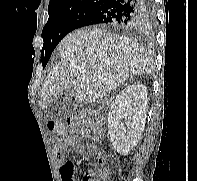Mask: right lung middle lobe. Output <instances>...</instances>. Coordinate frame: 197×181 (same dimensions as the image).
<instances>
[{
	"label": "right lung middle lobe",
	"mask_w": 197,
	"mask_h": 181,
	"mask_svg": "<svg viewBox=\"0 0 197 181\" xmlns=\"http://www.w3.org/2000/svg\"><path fill=\"white\" fill-rule=\"evenodd\" d=\"M100 4H85L68 10L49 14V19L42 30L44 41L41 51L43 68L46 66L58 43L71 31L78 28L80 22Z\"/></svg>",
	"instance_id": "obj_1"
}]
</instances>
